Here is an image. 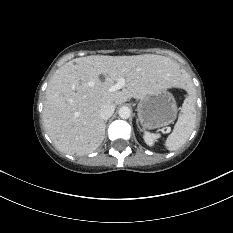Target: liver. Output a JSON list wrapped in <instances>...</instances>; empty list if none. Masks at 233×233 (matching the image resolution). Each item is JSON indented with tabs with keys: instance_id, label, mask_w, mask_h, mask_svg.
Listing matches in <instances>:
<instances>
[{
	"instance_id": "obj_1",
	"label": "liver",
	"mask_w": 233,
	"mask_h": 233,
	"mask_svg": "<svg viewBox=\"0 0 233 233\" xmlns=\"http://www.w3.org/2000/svg\"><path fill=\"white\" fill-rule=\"evenodd\" d=\"M120 78L125 79L122 90L109 92ZM185 80L184 70L160 55L76 58L60 67L48 84L43 108L45 130L59 151L86 155L104 140L106 124L99 115L103 105L117 106L131 98L182 87Z\"/></svg>"
}]
</instances>
